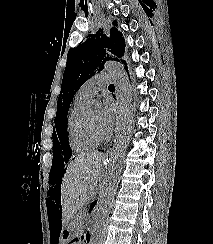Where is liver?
<instances>
[{
  "label": "liver",
  "mask_w": 213,
  "mask_h": 244,
  "mask_svg": "<svg viewBox=\"0 0 213 244\" xmlns=\"http://www.w3.org/2000/svg\"><path fill=\"white\" fill-rule=\"evenodd\" d=\"M104 156L100 152L78 155L67 167L61 184L62 221L66 224L94 192Z\"/></svg>",
  "instance_id": "liver-1"
}]
</instances>
